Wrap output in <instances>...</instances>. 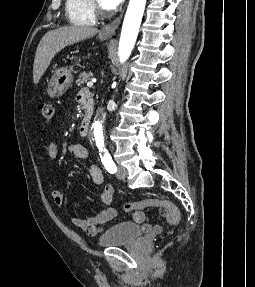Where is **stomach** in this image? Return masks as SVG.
<instances>
[{"instance_id": "obj_1", "label": "stomach", "mask_w": 255, "mask_h": 287, "mask_svg": "<svg viewBox=\"0 0 255 287\" xmlns=\"http://www.w3.org/2000/svg\"><path fill=\"white\" fill-rule=\"evenodd\" d=\"M103 40H109V38H104ZM73 82L71 70H63V72H55L52 80H50L47 88V94L50 98H60L63 96L64 92L68 90Z\"/></svg>"}]
</instances>
